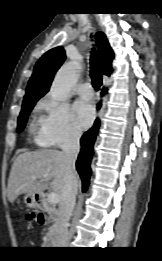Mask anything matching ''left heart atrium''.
Wrapping results in <instances>:
<instances>
[{"label": "left heart atrium", "instance_id": "left-heart-atrium-1", "mask_svg": "<svg viewBox=\"0 0 162 261\" xmlns=\"http://www.w3.org/2000/svg\"><path fill=\"white\" fill-rule=\"evenodd\" d=\"M76 121L80 128L89 127L95 117V109L91 102L79 100L74 104Z\"/></svg>", "mask_w": 162, "mask_h": 261}]
</instances>
